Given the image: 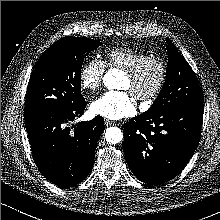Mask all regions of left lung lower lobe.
<instances>
[{"label": "left lung lower lobe", "instance_id": "left-lung-lower-lobe-1", "mask_svg": "<svg viewBox=\"0 0 220 220\" xmlns=\"http://www.w3.org/2000/svg\"><path fill=\"white\" fill-rule=\"evenodd\" d=\"M203 106L144 112L124 124V155L140 181L158 186L182 172L199 144Z\"/></svg>", "mask_w": 220, "mask_h": 220}]
</instances>
